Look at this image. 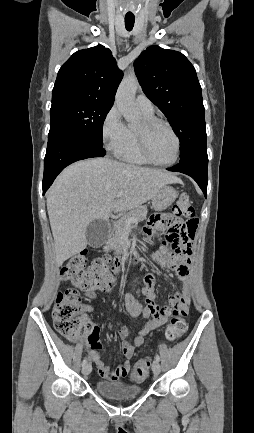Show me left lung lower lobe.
Instances as JSON below:
<instances>
[{
	"label": "left lung lower lobe",
	"mask_w": 254,
	"mask_h": 433,
	"mask_svg": "<svg viewBox=\"0 0 254 433\" xmlns=\"http://www.w3.org/2000/svg\"><path fill=\"white\" fill-rule=\"evenodd\" d=\"M207 167L208 158H192L185 162H180L176 166L168 168V170L181 172L192 177L202 189L205 197H207Z\"/></svg>",
	"instance_id": "obj_1"
}]
</instances>
